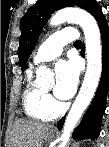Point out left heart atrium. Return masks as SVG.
<instances>
[{"mask_svg":"<svg viewBox=\"0 0 109 147\" xmlns=\"http://www.w3.org/2000/svg\"><path fill=\"white\" fill-rule=\"evenodd\" d=\"M78 77L79 68L74 59L59 61L55 66L54 95L61 100L70 99L76 91Z\"/></svg>","mask_w":109,"mask_h":147,"instance_id":"1","label":"left heart atrium"}]
</instances>
